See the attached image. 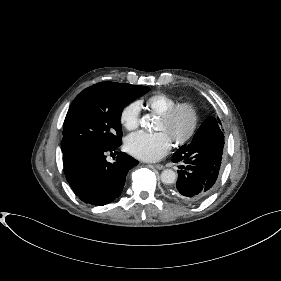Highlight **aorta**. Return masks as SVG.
Returning <instances> with one entry per match:
<instances>
[{"label": "aorta", "instance_id": "1", "mask_svg": "<svg viewBox=\"0 0 281 281\" xmlns=\"http://www.w3.org/2000/svg\"><path fill=\"white\" fill-rule=\"evenodd\" d=\"M150 124H151L150 116L148 115L143 116L141 119V126L147 129L150 127ZM176 179H177V175L175 171H173L172 169H165L161 173V181L164 184H173L176 181Z\"/></svg>", "mask_w": 281, "mask_h": 281}]
</instances>
